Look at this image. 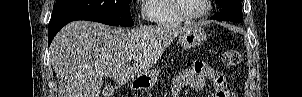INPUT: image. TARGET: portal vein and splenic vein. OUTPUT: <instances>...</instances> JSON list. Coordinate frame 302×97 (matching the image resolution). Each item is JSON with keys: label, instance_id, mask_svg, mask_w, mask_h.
I'll list each match as a JSON object with an SVG mask.
<instances>
[{"label": "portal vein and splenic vein", "instance_id": "1", "mask_svg": "<svg viewBox=\"0 0 302 97\" xmlns=\"http://www.w3.org/2000/svg\"><path fill=\"white\" fill-rule=\"evenodd\" d=\"M135 59V56H130L129 57V60H134Z\"/></svg>", "mask_w": 302, "mask_h": 97}]
</instances>
